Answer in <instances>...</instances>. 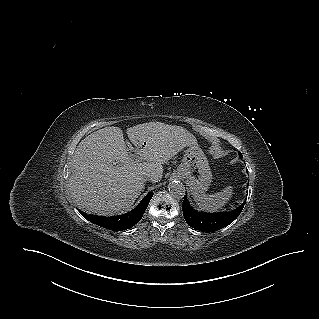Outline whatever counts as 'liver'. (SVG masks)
<instances>
[{
  "instance_id": "1",
  "label": "liver",
  "mask_w": 319,
  "mask_h": 319,
  "mask_svg": "<svg viewBox=\"0 0 319 319\" xmlns=\"http://www.w3.org/2000/svg\"><path fill=\"white\" fill-rule=\"evenodd\" d=\"M127 135L136 146V154L145 162L130 159L119 127L99 129L77 146L69 187L81 209L98 215L128 210L145 186L144 175L151 174L152 182L160 181L162 164L183 148L197 145L196 137L185 128L161 122L130 127Z\"/></svg>"
}]
</instances>
